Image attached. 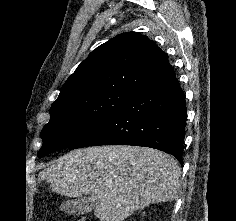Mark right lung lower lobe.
I'll list each match as a JSON object with an SVG mask.
<instances>
[{
    "instance_id": "1",
    "label": "right lung lower lobe",
    "mask_w": 236,
    "mask_h": 221,
    "mask_svg": "<svg viewBox=\"0 0 236 221\" xmlns=\"http://www.w3.org/2000/svg\"><path fill=\"white\" fill-rule=\"evenodd\" d=\"M186 119L185 94L171 69L139 89L72 149L97 145L145 146L167 152L182 164Z\"/></svg>"
}]
</instances>
